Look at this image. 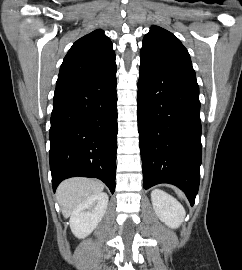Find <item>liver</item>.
<instances>
[{
	"instance_id": "obj_1",
	"label": "liver",
	"mask_w": 242,
	"mask_h": 270,
	"mask_svg": "<svg viewBox=\"0 0 242 270\" xmlns=\"http://www.w3.org/2000/svg\"><path fill=\"white\" fill-rule=\"evenodd\" d=\"M103 189L104 184L94 179L77 177L63 181L57 189V200L64 218L72 215L85 199L101 193Z\"/></svg>"
}]
</instances>
